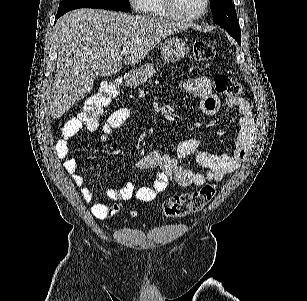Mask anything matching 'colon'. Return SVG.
I'll return each instance as SVG.
<instances>
[{"mask_svg":"<svg viewBox=\"0 0 307 301\" xmlns=\"http://www.w3.org/2000/svg\"><path fill=\"white\" fill-rule=\"evenodd\" d=\"M193 55L202 65L208 66L215 56V48L206 41L198 40L193 44ZM213 83L218 93L228 96L243 94L242 85L225 74H216ZM119 92L120 82L117 80L102 84L98 92L87 100L83 112L79 115L82 126L91 131L97 130L106 108ZM216 190L214 183H208L198 190L172 196L163 202L161 212L169 218L185 217L198 212L213 199Z\"/></svg>","mask_w":307,"mask_h":301,"instance_id":"5ec220e1","label":"colon"}]
</instances>
